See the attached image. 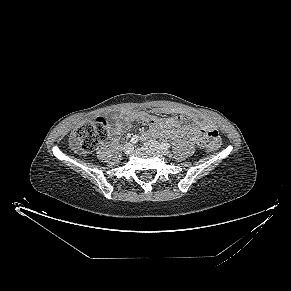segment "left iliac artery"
<instances>
[{
	"instance_id": "44dca946",
	"label": "left iliac artery",
	"mask_w": 291,
	"mask_h": 291,
	"mask_svg": "<svg viewBox=\"0 0 291 291\" xmlns=\"http://www.w3.org/2000/svg\"><path fill=\"white\" fill-rule=\"evenodd\" d=\"M161 146H162L163 148H165V149H169V148H170V144L167 143V142H162V143H161Z\"/></svg>"
}]
</instances>
